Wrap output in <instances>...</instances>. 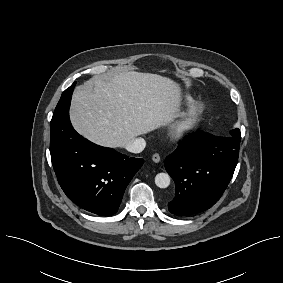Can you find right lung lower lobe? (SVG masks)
<instances>
[{
    "instance_id": "1",
    "label": "right lung lower lobe",
    "mask_w": 283,
    "mask_h": 283,
    "mask_svg": "<svg viewBox=\"0 0 283 283\" xmlns=\"http://www.w3.org/2000/svg\"><path fill=\"white\" fill-rule=\"evenodd\" d=\"M75 84L63 92L51 120L52 165L70 200L89 212L110 216L117 212L127 185L144 160L98 146L74 130L69 106Z\"/></svg>"
}]
</instances>
